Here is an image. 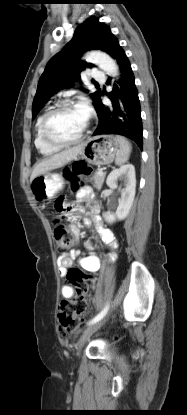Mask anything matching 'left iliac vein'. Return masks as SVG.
<instances>
[{"label": "left iliac vein", "mask_w": 187, "mask_h": 415, "mask_svg": "<svg viewBox=\"0 0 187 415\" xmlns=\"http://www.w3.org/2000/svg\"><path fill=\"white\" fill-rule=\"evenodd\" d=\"M107 319L108 317L102 318L101 320L92 323L90 326L87 327V329L84 331L78 342V353H80V350L82 349L86 341L107 321Z\"/></svg>", "instance_id": "left-iliac-vein-1"}]
</instances>
